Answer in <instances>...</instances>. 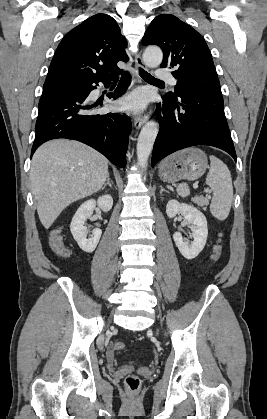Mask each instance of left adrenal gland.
<instances>
[{"mask_svg":"<svg viewBox=\"0 0 267 419\" xmlns=\"http://www.w3.org/2000/svg\"><path fill=\"white\" fill-rule=\"evenodd\" d=\"M160 189H161V190H160V194H161V195H162V193H163V192H167V193H169L167 190H165V189L163 188V186H160Z\"/></svg>","mask_w":267,"mask_h":419,"instance_id":"obj_1","label":"left adrenal gland"}]
</instances>
